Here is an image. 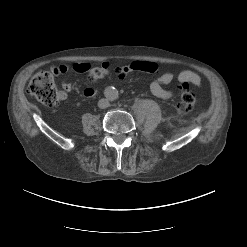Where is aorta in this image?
I'll use <instances>...</instances> for the list:
<instances>
[{
  "label": "aorta",
  "mask_w": 247,
  "mask_h": 247,
  "mask_svg": "<svg viewBox=\"0 0 247 247\" xmlns=\"http://www.w3.org/2000/svg\"><path fill=\"white\" fill-rule=\"evenodd\" d=\"M105 96L107 97L108 100L114 101L118 99L119 92L115 87H107L105 89Z\"/></svg>",
  "instance_id": "1"
}]
</instances>
